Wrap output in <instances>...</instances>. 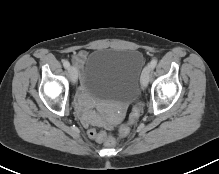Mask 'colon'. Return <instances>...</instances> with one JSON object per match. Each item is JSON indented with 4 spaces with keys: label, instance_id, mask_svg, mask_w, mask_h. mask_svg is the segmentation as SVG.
<instances>
[{
    "label": "colon",
    "instance_id": "5ec220e1",
    "mask_svg": "<svg viewBox=\"0 0 219 174\" xmlns=\"http://www.w3.org/2000/svg\"><path fill=\"white\" fill-rule=\"evenodd\" d=\"M140 114H141V107L139 104H135L131 110L129 122L123 124L119 129L120 137H127L130 134L131 125L139 118ZM87 134L90 138L105 143L108 147H113L115 144L114 137L108 135L104 131H96L95 129H89L87 131Z\"/></svg>",
    "mask_w": 219,
    "mask_h": 174
}]
</instances>
